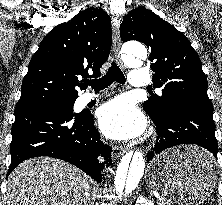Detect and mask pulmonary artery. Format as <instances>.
Listing matches in <instances>:
<instances>
[{"label": "pulmonary artery", "mask_w": 222, "mask_h": 205, "mask_svg": "<svg viewBox=\"0 0 222 205\" xmlns=\"http://www.w3.org/2000/svg\"><path fill=\"white\" fill-rule=\"evenodd\" d=\"M129 83L134 88L145 89V88H149L151 79L147 71L134 69L131 71V74L129 76ZM93 98H94L93 95L88 94L85 97V101L89 102Z\"/></svg>", "instance_id": "e3ab8cb5"}]
</instances>
